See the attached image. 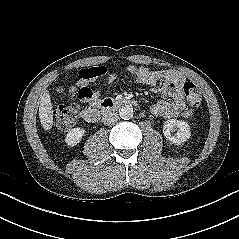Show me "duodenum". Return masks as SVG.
<instances>
[{
    "mask_svg": "<svg viewBox=\"0 0 239 239\" xmlns=\"http://www.w3.org/2000/svg\"><path fill=\"white\" fill-rule=\"evenodd\" d=\"M127 104H136V102L125 98H106L101 100L96 106L84 109L82 117L88 123H96L108 112Z\"/></svg>",
    "mask_w": 239,
    "mask_h": 239,
    "instance_id": "410a0bca",
    "label": "duodenum"
}]
</instances>
